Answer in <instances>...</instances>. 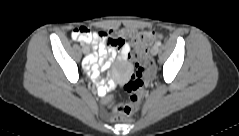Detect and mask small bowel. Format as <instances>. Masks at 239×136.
I'll return each mask as SVG.
<instances>
[{"label": "small bowel", "mask_w": 239, "mask_h": 136, "mask_svg": "<svg viewBox=\"0 0 239 136\" xmlns=\"http://www.w3.org/2000/svg\"><path fill=\"white\" fill-rule=\"evenodd\" d=\"M134 33V31L123 30L121 35L124 38H132ZM72 37L74 38L73 33ZM76 41H79L81 43H93L95 46V53L90 55L86 60L87 65L90 67V74L94 79H97L102 71L108 69L111 66L117 53L121 60L125 62L129 60L131 48L130 44L127 41H125L120 47H111L107 44V38L99 36L97 32L91 33L90 38L88 39ZM115 86L116 85L114 82H100L99 91L106 94L107 92L113 91L115 89ZM103 103L106 106H110L113 103V98L110 95H107L104 98Z\"/></svg>", "instance_id": "obj_1"}]
</instances>
